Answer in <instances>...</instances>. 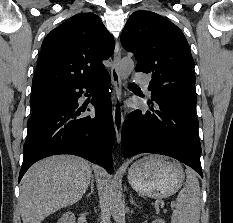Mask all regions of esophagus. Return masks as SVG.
Here are the masks:
<instances>
[{
  "label": "esophagus",
  "instance_id": "1",
  "mask_svg": "<svg viewBox=\"0 0 233 223\" xmlns=\"http://www.w3.org/2000/svg\"><path fill=\"white\" fill-rule=\"evenodd\" d=\"M120 60H121V48H120V42L119 40H117L114 50L113 64L110 73L113 84V99H112L113 121H114L117 143H120L121 141L122 124L124 121L123 111H122L123 110L122 86H121V78L119 74Z\"/></svg>",
  "mask_w": 233,
  "mask_h": 223
}]
</instances>
